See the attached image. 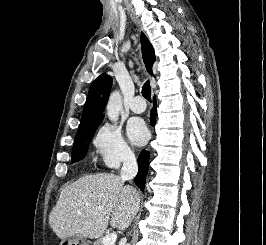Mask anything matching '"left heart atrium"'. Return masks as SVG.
I'll list each match as a JSON object with an SVG mask.
<instances>
[{
	"label": "left heart atrium",
	"instance_id": "1",
	"mask_svg": "<svg viewBox=\"0 0 266 245\" xmlns=\"http://www.w3.org/2000/svg\"><path fill=\"white\" fill-rule=\"evenodd\" d=\"M129 140L135 145L143 144L148 137V130L145 123L138 118L131 119L126 127Z\"/></svg>",
	"mask_w": 266,
	"mask_h": 245
}]
</instances>
